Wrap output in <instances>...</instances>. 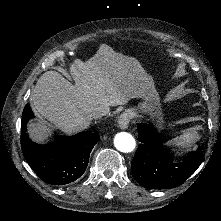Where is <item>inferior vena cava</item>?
I'll list each match as a JSON object with an SVG mask.
<instances>
[{
    "instance_id": "602c4592",
    "label": "inferior vena cava",
    "mask_w": 221,
    "mask_h": 221,
    "mask_svg": "<svg viewBox=\"0 0 221 221\" xmlns=\"http://www.w3.org/2000/svg\"><path fill=\"white\" fill-rule=\"evenodd\" d=\"M109 113V107L105 106V105H99L97 107L94 108L93 112H92V119H100L104 116H106Z\"/></svg>"
}]
</instances>
